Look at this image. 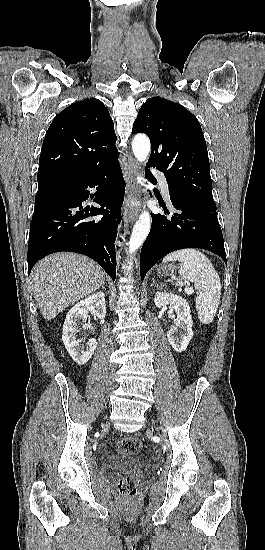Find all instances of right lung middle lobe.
<instances>
[{"label": "right lung middle lobe", "instance_id": "dd1d6c3e", "mask_svg": "<svg viewBox=\"0 0 265 550\" xmlns=\"http://www.w3.org/2000/svg\"><path fill=\"white\" fill-rule=\"evenodd\" d=\"M59 187H60L59 185H44V186L38 187V192L36 194L35 201L43 198L44 196L48 195L49 193L58 189Z\"/></svg>", "mask_w": 265, "mask_h": 550}]
</instances>
